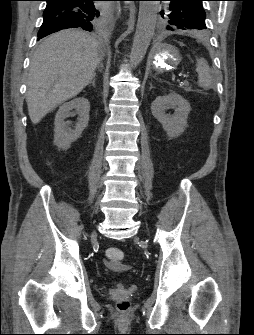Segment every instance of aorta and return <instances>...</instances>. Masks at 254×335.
<instances>
[{
  "label": "aorta",
  "instance_id": "aorta-1",
  "mask_svg": "<svg viewBox=\"0 0 254 335\" xmlns=\"http://www.w3.org/2000/svg\"><path fill=\"white\" fill-rule=\"evenodd\" d=\"M158 3L140 1L136 32L130 54V64L137 67L143 60L154 35Z\"/></svg>",
  "mask_w": 254,
  "mask_h": 335
}]
</instances>
